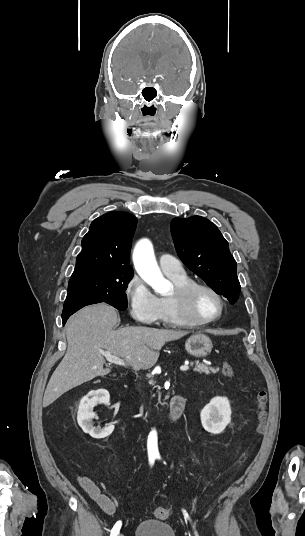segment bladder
I'll use <instances>...</instances> for the list:
<instances>
[{"label":"bladder","mask_w":305,"mask_h":536,"mask_svg":"<svg viewBox=\"0 0 305 536\" xmlns=\"http://www.w3.org/2000/svg\"><path fill=\"white\" fill-rule=\"evenodd\" d=\"M134 536H175V530L167 520L147 518L136 524Z\"/></svg>","instance_id":"bladder-1"}]
</instances>
